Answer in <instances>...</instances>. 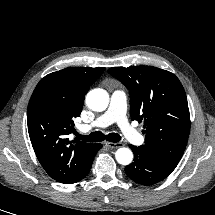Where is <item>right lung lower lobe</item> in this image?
<instances>
[{
  "instance_id": "right-lung-lower-lobe-1",
  "label": "right lung lower lobe",
  "mask_w": 215,
  "mask_h": 215,
  "mask_svg": "<svg viewBox=\"0 0 215 215\" xmlns=\"http://www.w3.org/2000/svg\"><path fill=\"white\" fill-rule=\"evenodd\" d=\"M101 148H102V145H101V144H94V149H93L92 158H91V160L89 161V163L87 164L86 169H85V171L83 172L82 177L80 178V180H81L82 178H84V177L89 173L90 168H91V165H92V162H93V159H94V156H95V154L97 153V151H98L99 149H101ZM80 180H79V181H80Z\"/></svg>"
}]
</instances>
